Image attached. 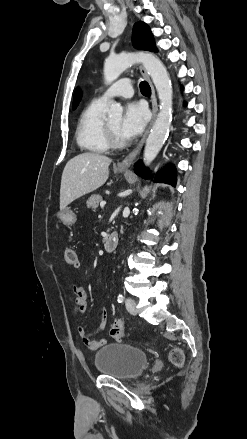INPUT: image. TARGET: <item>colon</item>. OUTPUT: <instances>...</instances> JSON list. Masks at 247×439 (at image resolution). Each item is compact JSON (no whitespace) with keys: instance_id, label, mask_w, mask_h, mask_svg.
Instances as JSON below:
<instances>
[{"instance_id":"obj_1","label":"colon","mask_w":247,"mask_h":439,"mask_svg":"<svg viewBox=\"0 0 247 439\" xmlns=\"http://www.w3.org/2000/svg\"><path fill=\"white\" fill-rule=\"evenodd\" d=\"M65 261L70 266H77L78 257L75 250L69 248L65 251ZM110 335L115 339H122L125 336L124 323L122 320H114L110 330ZM170 360L177 366L182 365L184 361L183 352L178 348H174L170 353Z\"/></svg>"}]
</instances>
